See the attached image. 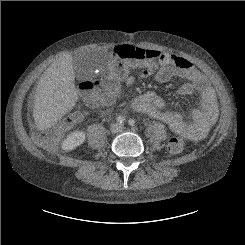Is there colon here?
Returning <instances> with one entry per match:
<instances>
[{"mask_svg":"<svg viewBox=\"0 0 245 245\" xmlns=\"http://www.w3.org/2000/svg\"><path fill=\"white\" fill-rule=\"evenodd\" d=\"M145 58L144 51L134 45H123L119 54L112 57L109 70L102 77L84 81L80 89L85 97L87 105L90 108H96L100 105L98 95L109 94L115 90L116 81L123 78L128 69L137 62ZM158 64L161 61L157 62ZM78 119V114L73 112L57 124L37 133L36 141L39 145L51 148L56 145L63 133L72 127ZM184 138L181 135L173 136L167 143V149L171 154H180L184 149Z\"/></svg>","mask_w":245,"mask_h":245,"instance_id":"5ec220e1","label":"colon"}]
</instances>
